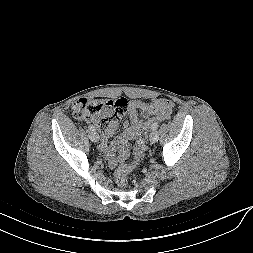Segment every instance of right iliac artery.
<instances>
[{
  "instance_id": "right-iliac-artery-1",
  "label": "right iliac artery",
  "mask_w": 253,
  "mask_h": 253,
  "mask_svg": "<svg viewBox=\"0 0 253 253\" xmlns=\"http://www.w3.org/2000/svg\"><path fill=\"white\" fill-rule=\"evenodd\" d=\"M88 128H89L90 131H96V128L93 125H89Z\"/></svg>"
}]
</instances>
